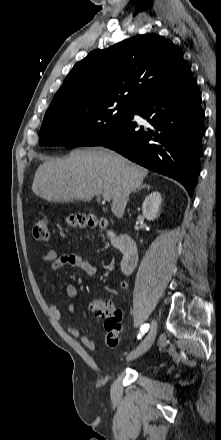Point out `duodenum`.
<instances>
[{
  "label": "duodenum",
  "mask_w": 221,
  "mask_h": 440,
  "mask_svg": "<svg viewBox=\"0 0 221 440\" xmlns=\"http://www.w3.org/2000/svg\"><path fill=\"white\" fill-rule=\"evenodd\" d=\"M108 235L122 254L120 263L121 272L124 275L129 274L134 269L138 260V250L134 239L128 234H117L112 231H110Z\"/></svg>",
  "instance_id": "410a0bca"
}]
</instances>
